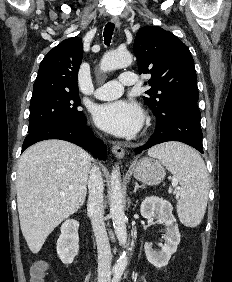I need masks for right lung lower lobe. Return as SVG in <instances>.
<instances>
[{"instance_id": "obj_1", "label": "right lung lower lobe", "mask_w": 232, "mask_h": 282, "mask_svg": "<svg viewBox=\"0 0 232 282\" xmlns=\"http://www.w3.org/2000/svg\"><path fill=\"white\" fill-rule=\"evenodd\" d=\"M87 121L80 123L61 121L53 123L42 129L29 132L26 136L22 151L36 142L47 139H61L72 142L90 151L98 159H106V145L102 140L96 138L91 129L86 126Z\"/></svg>"}]
</instances>
